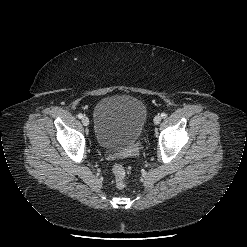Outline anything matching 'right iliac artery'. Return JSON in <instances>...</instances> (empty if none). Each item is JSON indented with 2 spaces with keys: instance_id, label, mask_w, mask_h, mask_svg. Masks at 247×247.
<instances>
[{
  "instance_id": "1",
  "label": "right iliac artery",
  "mask_w": 247,
  "mask_h": 247,
  "mask_svg": "<svg viewBox=\"0 0 247 247\" xmlns=\"http://www.w3.org/2000/svg\"><path fill=\"white\" fill-rule=\"evenodd\" d=\"M77 117L81 119V118H83V115H82L81 113H79V114L77 115Z\"/></svg>"
}]
</instances>
